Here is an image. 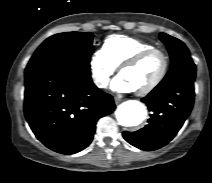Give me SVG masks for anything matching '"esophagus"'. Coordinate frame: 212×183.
<instances>
[{
	"label": "esophagus",
	"instance_id": "esophagus-1",
	"mask_svg": "<svg viewBox=\"0 0 212 183\" xmlns=\"http://www.w3.org/2000/svg\"><path fill=\"white\" fill-rule=\"evenodd\" d=\"M114 101H115L116 104H119L122 100L120 98H118V97H115Z\"/></svg>",
	"mask_w": 212,
	"mask_h": 183
}]
</instances>
